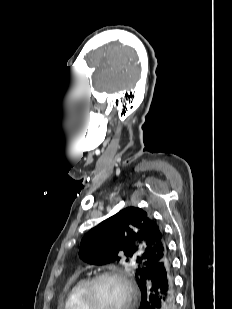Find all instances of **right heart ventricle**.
Here are the masks:
<instances>
[{
  "label": "right heart ventricle",
  "instance_id": "right-heart-ventricle-1",
  "mask_svg": "<svg viewBox=\"0 0 232 309\" xmlns=\"http://www.w3.org/2000/svg\"><path fill=\"white\" fill-rule=\"evenodd\" d=\"M88 281L87 278H83L73 285L68 293L64 309H87L83 297Z\"/></svg>",
  "mask_w": 232,
  "mask_h": 309
}]
</instances>
